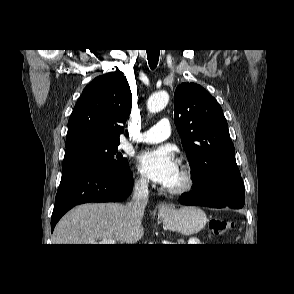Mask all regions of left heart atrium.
I'll list each match as a JSON object with an SVG mask.
<instances>
[{
    "label": "left heart atrium",
    "mask_w": 294,
    "mask_h": 294,
    "mask_svg": "<svg viewBox=\"0 0 294 294\" xmlns=\"http://www.w3.org/2000/svg\"><path fill=\"white\" fill-rule=\"evenodd\" d=\"M137 162L144 176L164 186L170 183L178 170L173 153L165 147L142 152Z\"/></svg>",
    "instance_id": "obj_1"
}]
</instances>
